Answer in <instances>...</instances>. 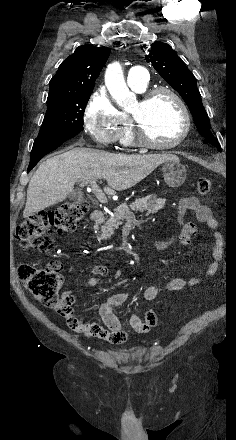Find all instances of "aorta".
Wrapping results in <instances>:
<instances>
[{"label": "aorta", "mask_w": 236, "mask_h": 440, "mask_svg": "<svg viewBox=\"0 0 236 440\" xmlns=\"http://www.w3.org/2000/svg\"><path fill=\"white\" fill-rule=\"evenodd\" d=\"M105 85L120 107L128 108L134 104L135 94L128 89L122 67L118 62L108 65L105 72Z\"/></svg>", "instance_id": "obj_1"}]
</instances>
